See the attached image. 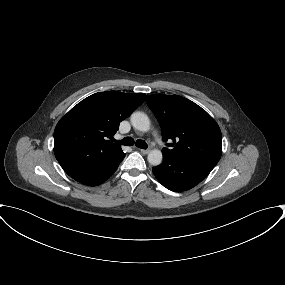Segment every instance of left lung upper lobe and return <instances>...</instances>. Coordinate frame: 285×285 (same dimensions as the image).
Listing matches in <instances>:
<instances>
[{"mask_svg": "<svg viewBox=\"0 0 285 285\" xmlns=\"http://www.w3.org/2000/svg\"><path fill=\"white\" fill-rule=\"evenodd\" d=\"M146 101L162 126L164 141L172 140V148H163V155L215 167L222 154V135L205 110L178 95H147Z\"/></svg>", "mask_w": 285, "mask_h": 285, "instance_id": "left-lung-upper-lobe-1", "label": "left lung upper lobe"}]
</instances>
